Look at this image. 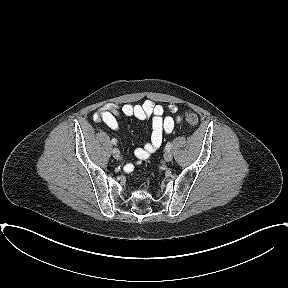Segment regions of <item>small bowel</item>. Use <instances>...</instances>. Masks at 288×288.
Segmentation results:
<instances>
[{
	"instance_id": "obj_1",
	"label": "small bowel",
	"mask_w": 288,
	"mask_h": 288,
	"mask_svg": "<svg viewBox=\"0 0 288 288\" xmlns=\"http://www.w3.org/2000/svg\"><path fill=\"white\" fill-rule=\"evenodd\" d=\"M167 109L171 114L177 112V106L174 104H169ZM120 115L135 117L139 120L151 118L150 141L134 150V155L138 161L146 160L156 153L161 148L163 136L172 133L175 126L181 122L179 116L165 115L164 107L150 100L137 105L108 103L94 114V120L116 130L118 129L117 117Z\"/></svg>"
}]
</instances>
